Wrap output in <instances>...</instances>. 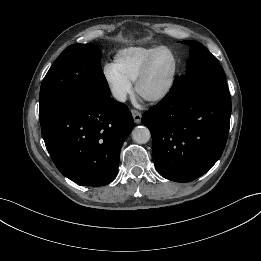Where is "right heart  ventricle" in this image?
Wrapping results in <instances>:
<instances>
[{
    "mask_svg": "<svg viewBox=\"0 0 261 261\" xmlns=\"http://www.w3.org/2000/svg\"><path fill=\"white\" fill-rule=\"evenodd\" d=\"M130 47L118 51L113 65L130 82H134L149 56L158 48Z\"/></svg>",
    "mask_w": 261,
    "mask_h": 261,
    "instance_id": "obj_1",
    "label": "right heart ventricle"
}]
</instances>
